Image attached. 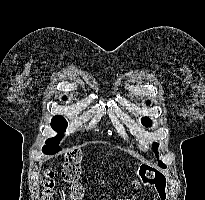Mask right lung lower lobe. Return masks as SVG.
Instances as JSON below:
<instances>
[{
    "label": "right lung lower lobe",
    "instance_id": "98d812e1",
    "mask_svg": "<svg viewBox=\"0 0 205 200\" xmlns=\"http://www.w3.org/2000/svg\"><path fill=\"white\" fill-rule=\"evenodd\" d=\"M42 151H43V153L48 154V155L54 154L53 152H47V151H45V150H43V149H42Z\"/></svg>",
    "mask_w": 205,
    "mask_h": 200
}]
</instances>
